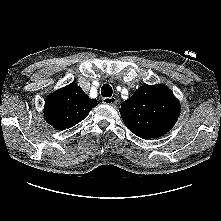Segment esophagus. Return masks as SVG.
Returning a JSON list of instances; mask_svg holds the SVG:
<instances>
[{"label": "esophagus", "mask_w": 221, "mask_h": 221, "mask_svg": "<svg viewBox=\"0 0 221 221\" xmlns=\"http://www.w3.org/2000/svg\"><path fill=\"white\" fill-rule=\"evenodd\" d=\"M102 102L107 105H115L117 103V99L115 97H104Z\"/></svg>", "instance_id": "esophagus-1"}]
</instances>
